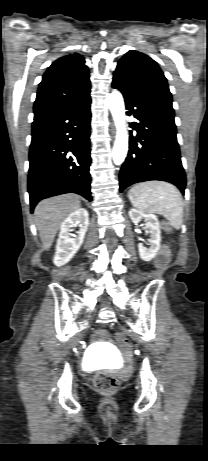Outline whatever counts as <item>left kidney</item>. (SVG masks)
I'll return each instance as SVG.
<instances>
[{
    "label": "left kidney",
    "mask_w": 208,
    "mask_h": 461,
    "mask_svg": "<svg viewBox=\"0 0 208 461\" xmlns=\"http://www.w3.org/2000/svg\"><path fill=\"white\" fill-rule=\"evenodd\" d=\"M131 221L137 224L141 219L146 222V229L150 233V249L146 250L142 243L138 244L140 258L146 262L151 261L160 249L161 232L158 218L154 214L144 213L136 209L129 210Z\"/></svg>",
    "instance_id": "obj_1"
}]
</instances>
